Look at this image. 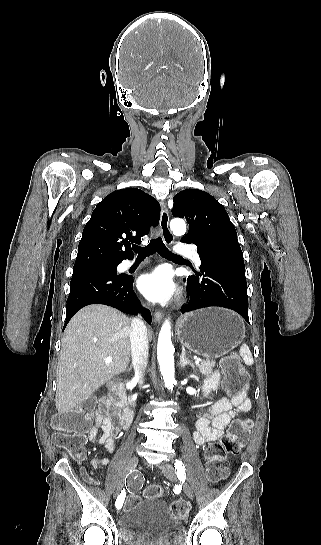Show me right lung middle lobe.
I'll return each instance as SVG.
<instances>
[{
  "label": "right lung middle lobe",
  "instance_id": "1",
  "mask_svg": "<svg viewBox=\"0 0 321 545\" xmlns=\"http://www.w3.org/2000/svg\"><path fill=\"white\" fill-rule=\"evenodd\" d=\"M97 268H103L107 269L109 271L117 273V264L116 265H103V266H96Z\"/></svg>",
  "mask_w": 321,
  "mask_h": 545
}]
</instances>
